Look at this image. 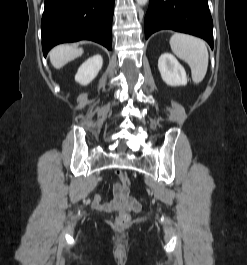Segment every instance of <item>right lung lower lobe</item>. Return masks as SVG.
<instances>
[{
    "mask_svg": "<svg viewBox=\"0 0 247 265\" xmlns=\"http://www.w3.org/2000/svg\"><path fill=\"white\" fill-rule=\"evenodd\" d=\"M114 0H45L41 21L44 56L57 44L92 40L112 49Z\"/></svg>",
    "mask_w": 247,
    "mask_h": 265,
    "instance_id": "1",
    "label": "right lung lower lobe"
}]
</instances>
